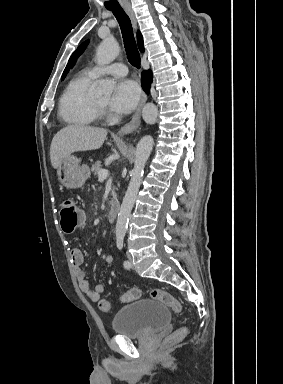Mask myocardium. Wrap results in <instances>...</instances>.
I'll list each match as a JSON object with an SVG mask.
<instances>
[{
  "mask_svg": "<svg viewBox=\"0 0 283 384\" xmlns=\"http://www.w3.org/2000/svg\"><path fill=\"white\" fill-rule=\"evenodd\" d=\"M92 104H93V108H94L95 114H96V116L98 118H105V117H107L106 107L102 106L95 99H92Z\"/></svg>",
  "mask_w": 283,
  "mask_h": 384,
  "instance_id": "1",
  "label": "myocardium"
}]
</instances>
